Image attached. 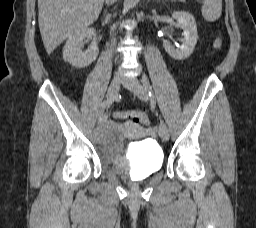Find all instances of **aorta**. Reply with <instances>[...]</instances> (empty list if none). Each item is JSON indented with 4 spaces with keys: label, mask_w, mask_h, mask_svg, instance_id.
<instances>
[{
    "label": "aorta",
    "mask_w": 256,
    "mask_h": 228,
    "mask_svg": "<svg viewBox=\"0 0 256 228\" xmlns=\"http://www.w3.org/2000/svg\"><path fill=\"white\" fill-rule=\"evenodd\" d=\"M139 0H124L123 2V9L124 11H128L129 9L133 8Z\"/></svg>",
    "instance_id": "aorta-1"
}]
</instances>
